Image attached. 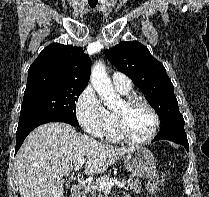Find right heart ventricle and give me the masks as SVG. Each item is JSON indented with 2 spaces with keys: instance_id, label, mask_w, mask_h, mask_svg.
Segmentation results:
<instances>
[{
  "instance_id": "1",
  "label": "right heart ventricle",
  "mask_w": 209,
  "mask_h": 197,
  "mask_svg": "<svg viewBox=\"0 0 209 197\" xmlns=\"http://www.w3.org/2000/svg\"><path fill=\"white\" fill-rule=\"evenodd\" d=\"M118 91V90H117ZM122 95H128L129 92L118 91ZM109 124L104 132L103 137H105L108 141L117 142L120 141L121 138L116 129L115 115L113 112H109Z\"/></svg>"
}]
</instances>
